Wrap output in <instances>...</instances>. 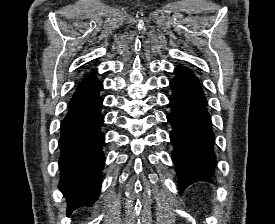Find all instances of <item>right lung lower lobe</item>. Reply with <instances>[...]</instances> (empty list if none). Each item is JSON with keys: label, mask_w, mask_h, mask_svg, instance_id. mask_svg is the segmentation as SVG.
Returning <instances> with one entry per match:
<instances>
[{"label": "right lung lower lobe", "mask_w": 275, "mask_h": 224, "mask_svg": "<svg viewBox=\"0 0 275 224\" xmlns=\"http://www.w3.org/2000/svg\"><path fill=\"white\" fill-rule=\"evenodd\" d=\"M103 84L94 74L78 85L61 122L59 139V188L67 198L68 212L81 206H92L101 188L105 141L101 132L104 117Z\"/></svg>", "instance_id": "98d812e1"}]
</instances>
